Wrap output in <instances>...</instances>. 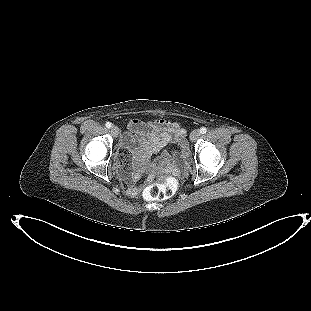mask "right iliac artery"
Listing matches in <instances>:
<instances>
[{
	"instance_id": "right-iliac-artery-1",
	"label": "right iliac artery",
	"mask_w": 311,
	"mask_h": 311,
	"mask_svg": "<svg viewBox=\"0 0 311 311\" xmlns=\"http://www.w3.org/2000/svg\"><path fill=\"white\" fill-rule=\"evenodd\" d=\"M105 126L109 129V128H111L112 125L110 122H106Z\"/></svg>"
}]
</instances>
